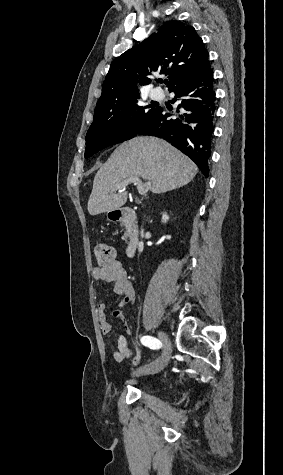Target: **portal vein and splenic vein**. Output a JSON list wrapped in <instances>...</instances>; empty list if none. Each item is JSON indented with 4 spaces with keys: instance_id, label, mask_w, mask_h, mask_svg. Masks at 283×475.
<instances>
[{
    "instance_id": "obj_1",
    "label": "portal vein and splenic vein",
    "mask_w": 283,
    "mask_h": 475,
    "mask_svg": "<svg viewBox=\"0 0 283 475\" xmlns=\"http://www.w3.org/2000/svg\"><path fill=\"white\" fill-rule=\"evenodd\" d=\"M129 184H134V186H137V190L141 196H145L146 192H148L151 182H147V184H142L140 178L138 176H132V178H127V180H124L122 184H116L115 188L116 190H121V188H126V186H129Z\"/></svg>"
}]
</instances>
